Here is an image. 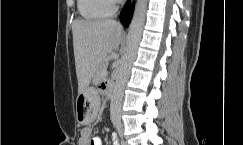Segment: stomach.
Here are the masks:
<instances>
[{"label": "stomach", "instance_id": "0dacf381", "mask_svg": "<svg viewBox=\"0 0 243 145\" xmlns=\"http://www.w3.org/2000/svg\"><path fill=\"white\" fill-rule=\"evenodd\" d=\"M101 94H89L86 91L79 94L76 102V120L81 124L94 121L98 113V103Z\"/></svg>", "mask_w": 243, "mask_h": 145}]
</instances>
